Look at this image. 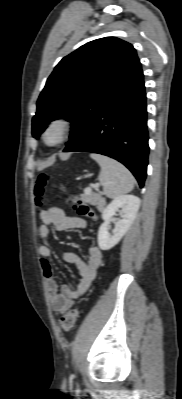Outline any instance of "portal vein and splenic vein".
Masks as SVG:
<instances>
[{
    "label": "portal vein and splenic vein",
    "mask_w": 182,
    "mask_h": 399,
    "mask_svg": "<svg viewBox=\"0 0 182 399\" xmlns=\"http://www.w3.org/2000/svg\"><path fill=\"white\" fill-rule=\"evenodd\" d=\"M90 192H91V189H90V188H88V189L85 190V193H86V194H89Z\"/></svg>",
    "instance_id": "obj_1"
}]
</instances>
